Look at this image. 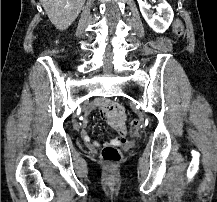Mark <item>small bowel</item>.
<instances>
[{
    "instance_id": "c3829d8e",
    "label": "small bowel",
    "mask_w": 217,
    "mask_h": 202,
    "mask_svg": "<svg viewBox=\"0 0 217 202\" xmlns=\"http://www.w3.org/2000/svg\"><path fill=\"white\" fill-rule=\"evenodd\" d=\"M97 106L101 109V113H105L107 121H109V126H112L116 132V136L106 142L107 145H123L126 142V127H125V117L122 113L123 104H118L117 101H96L93 102L86 110V116L89 115ZM122 113V114H121ZM81 138L84 142L90 146L92 149H98L101 143L98 141H92L88 133L84 130L80 133Z\"/></svg>"
}]
</instances>
